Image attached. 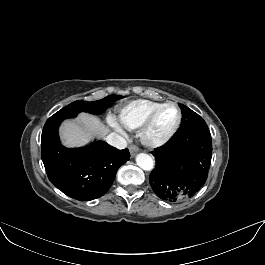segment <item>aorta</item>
Instances as JSON below:
<instances>
[{
    "label": "aorta",
    "instance_id": "aorta-1",
    "mask_svg": "<svg viewBox=\"0 0 265 265\" xmlns=\"http://www.w3.org/2000/svg\"><path fill=\"white\" fill-rule=\"evenodd\" d=\"M136 163L141 169L145 171H150L154 167L153 159L145 153H140L136 156Z\"/></svg>",
    "mask_w": 265,
    "mask_h": 265
}]
</instances>
